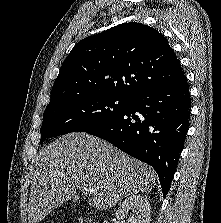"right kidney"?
<instances>
[{
	"instance_id": "1",
	"label": "right kidney",
	"mask_w": 221,
	"mask_h": 223,
	"mask_svg": "<svg viewBox=\"0 0 221 223\" xmlns=\"http://www.w3.org/2000/svg\"><path fill=\"white\" fill-rule=\"evenodd\" d=\"M129 209L135 213L128 216ZM116 218L120 223H149L150 204L146 196L131 195L126 198L116 211Z\"/></svg>"
}]
</instances>
